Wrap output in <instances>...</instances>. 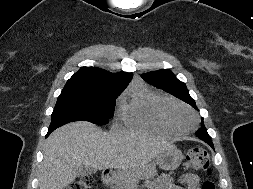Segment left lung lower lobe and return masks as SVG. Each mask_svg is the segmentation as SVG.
<instances>
[{
	"instance_id": "1",
	"label": "left lung lower lobe",
	"mask_w": 253,
	"mask_h": 189,
	"mask_svg": "<svg viewBox=\"0 0 253 189\" xmlns=\"http://www.w3.org/2000/svg\"><path fill=\"white\" fill-rule=\"evenodd\" d=\"M196 136L200 139H202L203 141H205L207 144H209L213 149H214V145L211 142V139L209 136H205L203 134L197 133Z\"/></svg>"
}]
</instances>
